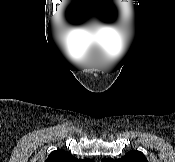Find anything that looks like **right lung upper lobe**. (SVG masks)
I'll return each instance as SVG.
<instances>
[{
  "mask_svg": "<svg viewBox=\"0 0 175 162\" xmlns=\"http://www.w3.org/2000/svg\"><path fill=\"white\" fill-rule=\"evenodd\" d=\"M45 162H93L91 159H78L64 150L52 151Z\"/></svg>",
  "mask_w": 175,
  "mask_h": 162,
  "instance_id": "obj_1",
  "label": "right lung upper lobe"
}]
</instances>
